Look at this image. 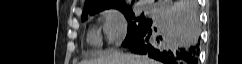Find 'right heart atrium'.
<instances>
[{
	"label": "right heart atrium",
	"instance_id": "1",
	"mask_svg": "<svg viewBox=\"0 0 242 64\" xmlns=\"http://www.w3.org/2000/svg\"><path fill=\"white\" fill-rule=\"evenodd\" d=\"M103 32L108 44L120 43L127 33L128 23L125 15L116 8H108L102 14Z\"/></svg>",
	"mask_w": 242,
	"mask_h": 64
}]
</instances>
